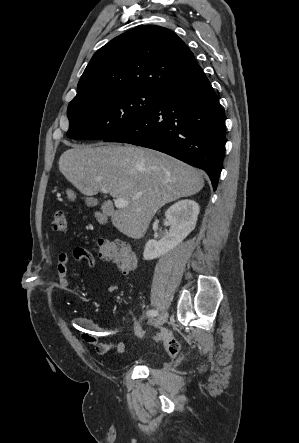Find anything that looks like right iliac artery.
<instances>
[{
	"mask_svg": "<svg viewBox=\"0 0 299 443\" xmlns=\"http://www.w3.org/2000/svg\"><path fill=\"white\" fill-rule=\"evenodd\" d=\"M146 315L148 317H156L158 315V312L156 310H148Z\"/></svg>",
	"mask_w": 299,
	"mask_h": 443,
	"instance_id": "obj_1",
	"label": "right iliac artery"
}]
</instances>
